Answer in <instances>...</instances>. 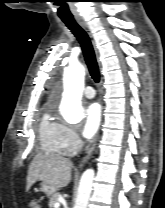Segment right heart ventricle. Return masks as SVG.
<instances>
[{
  "label": "right heart ventricle",
  "instance_id": "1",
  "mask_svg": "<svg viewBox=\"0 0 165 208\" xmlns=\"http://www.w3.org/2000/svg\"><path fill=\"white\" fill-rule=\"evenodd\" d=\"M39 138L42 148L50 153H63L62 131L49 112H45L39 125Z\"/></svg>",
  "mask_w": 165,
  "mask_h": 208
}]
</instances>
